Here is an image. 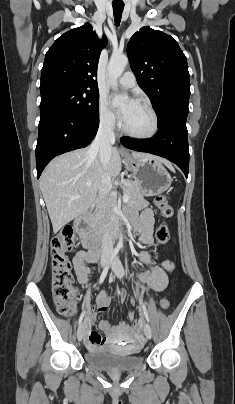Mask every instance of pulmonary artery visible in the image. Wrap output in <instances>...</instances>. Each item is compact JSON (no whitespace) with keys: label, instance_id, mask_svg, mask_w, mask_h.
<instances>
[{"label":"pulmonary artery","instance_id":"obj_1","mask_svg":"<svg viewBox=\"0 0 235 404\" xmlns=\"http://www.w3.org/2000/svg\"><path fill=\"white\" fill-rule=\"evenodd\" d=\"M136 79L132 72H125L119 79L118 84L123 88H131L135 85Z\"/></svg>","mask_w":235,"mask_h":404}]
</instances>
